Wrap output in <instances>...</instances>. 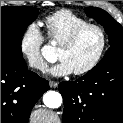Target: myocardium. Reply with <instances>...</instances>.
I'll use <instances>...</instances> for the list:
<instances>
[{
	"label": "myocardium",
	"mask_w": 123,
	"mask_h": 123,
	"mask_svg": "<svg viewBox=\"0 0 123 123\" xmlns=\"http://www.w3.org/2000/svg\"><path fill=\"white\" fill-rule=\"evenodd\" d=\"M90 29H95V30H97L99 32V34L101 36V45H100V48H99L96 56L94 57V59L86 67L74 71L73 73L75 75H84V74L89 73L101 61V59H102V57H103V55L105 53V50H106V47H107V41H108V39H107V33H106L105 29L102 26L98 25V24L89 23L87 25H84V26L76 29L59 46L60 49H67V48L72 47L77 42V40L81 37V35L84 34L86 31H88Z\"/></svg>",
	"instance_id": "myocardium-1"
}]
</instances>
